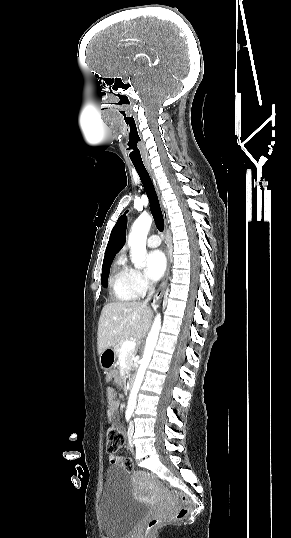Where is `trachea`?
I'll list each match as a JSON object with an SVG mask.
<instances>
[{
	"instance_id": "trachea-1",
	"label": "trachea",
	"mask_w": 291,
	"mask_h": 538,
	"mask_svg": "<svg viewBox=\"0 0 291 538\" xmlns=\"http://www.w3.org/2000/svg\"><path fill=\"white\" fill-rule=\"evenodd\" d=\"M149 199L152 215L159 231L164 230V219L152 180L143 164H133Z\"/></svg>"
}]
</instances>
